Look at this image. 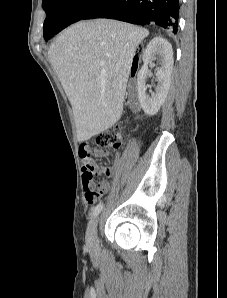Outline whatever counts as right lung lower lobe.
<instances>
[{
  "label": "right lung lower lobe",
  "mask_w": 227,
  "mask_h": 298,
  "mask_svg": "<svg viewBox=\"0 0 227 298\" xmlns=\"http://www.w3.org/2000/svg\"><path fill=\"white\" fill-rule=\"evenodd\" d=\"M111 18L133 24L155 23L177 33L179 0H101L82 19Z\"/></svg>",
  "instance_id": "98d812e1"
}]
</instances>
